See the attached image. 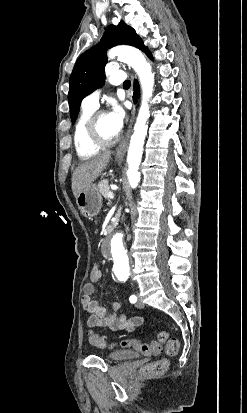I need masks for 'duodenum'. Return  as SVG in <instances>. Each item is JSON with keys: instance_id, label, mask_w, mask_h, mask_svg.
Returning a JSON list of instances; mask_svg holds the SVG:
<instances>
[{"instance_id": "obj_1", "label": "duodenum", "mask_w": 247, "mask_h": 413, "mask_svg": "<svg viewBox=\"0 0 247 413\" xmlns=\"http://www.w3.org/2000/svg\"><path fill=\"white\" fill-rule=\"evenodd\" d=\"M113 229H114V223L111 222V223H109V224L107 225V227H106V232H107V233H111V232L113 231Z\"/></svg>"}]
</instances>
